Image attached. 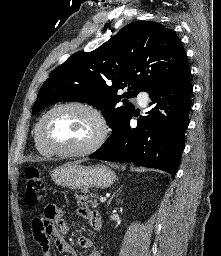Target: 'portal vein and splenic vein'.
I'll use <instances>...</instances> for the list:
<instances>
[{"instance_id": "portal-vein-and-splenic-vein-1", "label": "portal vein and splenic vein", "mask_w": 221, "mask_h": 256, "mask_svg": "<svg viewBox=\"0 0 221 256\" xmlns=\"http://www.w3.org/2000/svg\"><path fill=\"white\" fill-rule=\"evenodd\" d=\"M99 200H100V202H101V203L106 202V198H105V197H102V196L100 197V199H99Z\"/></svg>"}]
</instances>
